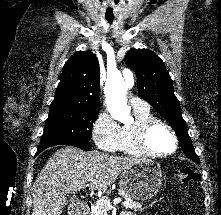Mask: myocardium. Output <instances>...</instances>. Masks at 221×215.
<instances>
[{
  "mask_svg": "<svg viewBox=\"0 0 221 215\" xmlns=\"http://www.w3.org/2000/svg\"><path fill=\"white\" fill-rule=\"evenodd\" d=\"M158 126L165 127L170 132V134L173 138V141H174V147L171 151L157 152V151H154L150 147V145L148 143L149 135H150L151 131ZM134 142H135L136 147L143 154L153 156V157H166V156L172 155L177 151V148L179 145V140H178L177 134L174 131V129L172 128V126L169 125L168 123L160 120V119H157V118L148 120V121L140 124L137 127L136 132H135Z\"/></svg>",
  "mask_w": 221,
  "mask_h": 215,
  "instance_id": "f54148a6",
  "label": "myocardium"
}]
</instances>
